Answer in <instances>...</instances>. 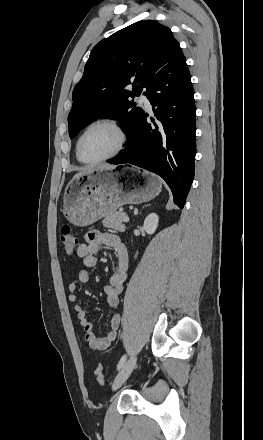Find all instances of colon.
<instances>
[{
	"instance_id": "1",
	"label": "colon",
	"mask_w": 263,
	"mask_h": 440,
	"mask_svg": "<svg viewBox=\"0 0 263 440\" xmlns=\"http://www.w3.org/2000/svg\"><path fill=\"white\" fill-rule=\"evenodd\" d=\"M60 241L64 251L67 254H72L78 245V240L69 225H64L61 230ZM95 380L99 385L105 384V378L103 374V368L98 366L95 371Z\"/></svg>"
}]
</instances>
